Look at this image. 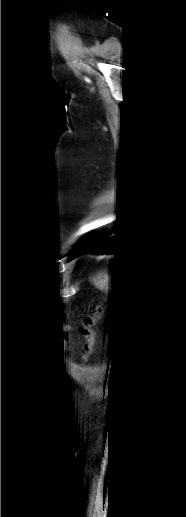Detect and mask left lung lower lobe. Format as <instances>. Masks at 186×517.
<instances>
[{
    "instance_id": "left-lung-lower-lobe-1",
    "label": "left lung lower lobe",
    "mask_w": 186,
    "mask_h": 517,
    "mask_svg": "<svg viewBox=\"0 0 186 517\" xmlns=\"http://www.w3.org/2000/svg\"><path fill=\"white\" fill-rule=\"evenodd\" d=\"M95 252L102 253H119V245L115 240L107 239V235L93 234L88 241L78 249L72 258L82 255L84 253Z\"/></svg>"
}]
</instances>
